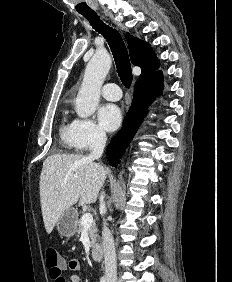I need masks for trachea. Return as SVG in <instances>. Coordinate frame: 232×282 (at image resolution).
Here are the masks:
<instances>
[{
  "instance_id": "obj_1",
  "label": "trachea",
  "mask_w": 232,
  "mask_h": 282,
  "mask_svg": "<svg viewBox=\"0 0 232 282\" xmlns=\"http://www.w3.org/2000/svg\"><path fill=\"white\" fill-rule=\"evenodd\" d=\"M90 25L107 40L113 54L118 75L126 88L132 83V70L126 45L118 31L103 23L95 12L82 13Z\"/></svg>"
}]
</instances>
